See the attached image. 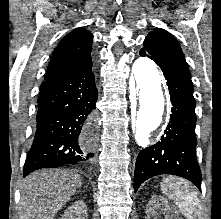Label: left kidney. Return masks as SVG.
<instances>
[{
  "mask_svg": "<svg viewBox=\"0 0 221 219\" xmlns=\"http://www.w3.org/2000/svg\"><path fill=\"white\" fill-rule=\"evenodd\" d=\"M161 214L165 216V219H179L167 200L163 197L154 196L147 204L146 219H160Z\"/></svg>",
  "mask_w": 221,
  "mask_h": 219,
  "instance_id": "obj_1",
  "label": "left kidney"
}]
</instances>
